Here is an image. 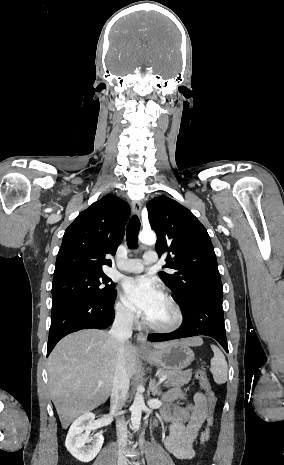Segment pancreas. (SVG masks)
Segmentation results:
<instances>
[{
  "instance_id": "cf45deb5",
  "label": "pancreas",
  "mask_w": 284,
  "mask_h": 465,
  "mask_svg": "<svg viewBox=\"0 0 284 465\" xmlns=\"http://www.w3.org/2000/svg\"><path fill=\"white\" fill-rule=\"evenodd\" d=\"M167 375L164 387H184L192 377V371H160L159 377Z\"/></svg>"
}]
</instances>
